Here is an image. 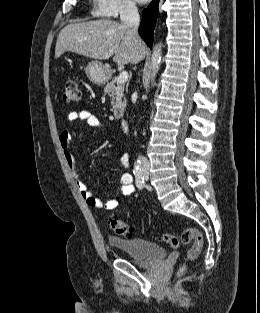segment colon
<instances>
[{
	"mask_svg": "<svg viewBox=\"0 0 260 313\" xmlns=\"http://www.w3.org/2000/svg\"><path fill=\"white\" fill-rule=\"evenodd\" d=\"M81 100V92L77 82L67 81L64 86L63 101L65 104H76ZM109 224L114 232L118 235L131 237L134 234V228L118 218L109 219ZM160 240L167 243L173 248L179 247L181 244L187 245L193 242L192 247L187 252L186 262L183 263L179 270L178 275L181 276L186 273L188 268V262L195 260L201 253L204 240L199 230L195 228L185 229L180 237H177L170 233H164L161 235Z\"/></svg>",
	"mask_w": 260,
	"mask_h": 313,
	"instance_id": "5ec220e1",
	"label": "colon"
}]
</instances>
